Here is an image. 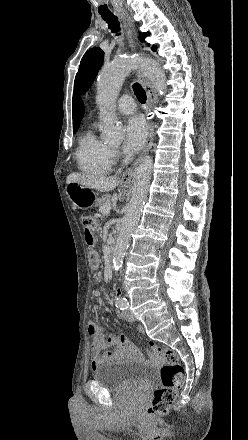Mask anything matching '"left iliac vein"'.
Here are the masks:
<instances>
[{
	"label": "left iliac vein",
	"instance_id": "4c4485c4",
	"mask_svg": "<svg viewBox=\"0 0 248 440\" xmlns=\"http://www.w3.org/2000/svg\"><path fill=\"white\" fill-rule=\"evenodd\" d=\"M122 317L127 321H134L135 320L134 314L129 309L122 313Z\"/></svg>",
	"mask_w": 248,
	"mask_h": 440
}]
</instances>
